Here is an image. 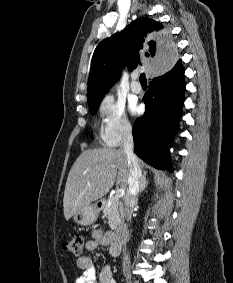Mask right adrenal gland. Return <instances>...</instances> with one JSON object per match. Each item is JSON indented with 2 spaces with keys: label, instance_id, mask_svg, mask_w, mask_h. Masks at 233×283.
Returning <instances> with one entry per match:
<instances>
[{
  "label": "right adrenal gland",
  "instance_id": "obj_1",
  "mask_svg": "<svg viewBox=\"0 0 233 283\" xmlns=\"http://www.w3.org/2000/svg\"><path fill=\"white\" fill-rule=\"evenodd\" d=\"M149 182L147 181L146 179V173L143 175V179H142V182H141V185H140V189H139V194L142 193L145 188L148 186Z\"/></svg>",
  "mask_w": 233,
  "mask_h": 283
}]
</instances>
